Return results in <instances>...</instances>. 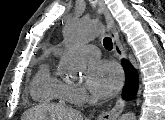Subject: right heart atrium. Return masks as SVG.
<instances>
[{
    "instance_id": "d8ad5b80",
    "label": "right heart atrium",
    "mask_w": 165,
    "mask_h": 120,
    "mask_svg": "<svg viewBox=\"0 0 165 120\" xmlns=\"http://www.w3.org/2000/svg\"><path fill=\"white\" fill-rule=\"evenodd\" d=\"M69 98L74 103H83L88 99L85 88L81 85H69Z\"/></svg>"
}]
</instances>
